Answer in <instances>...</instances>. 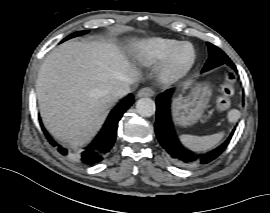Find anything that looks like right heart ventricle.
Here are the masks:
<instances>
[{"instance_id":"obj_1","label":"right heart ventricle","mask_w":270,"mask_h":213,"mask_svg":"<svg viewBox=\"0 0 270 213\" xmlns=\"http://www.w3.org/2000/svg\"><path fill=\"white\" fill-rule=\"evenodd\" d=\"M177 43V40L160 37L146 39L137 45L136 58L146 66L155 64L163 61Z\"/></svg>"}]
</instances>
